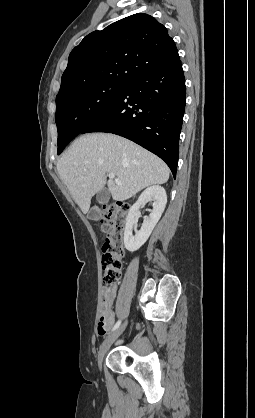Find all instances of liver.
<instances>
[{"label": "liver", "instance_id": "liver-1", "mask_svg": "<svg viewBox=\"0 0 255 418\" xmlns=\"http://www.w3.org/2000/svg\"><path fill=\"white\" fill-rule=\"evenodd\" d=\"M61 180L86 214L91 198L104 188L106 174L122 183L107 182L112 198L124 201L146 187L164 184L170 170L159 157L114 134L91 133L76 139L57 163Z\"/></svg>", "mask_w": 255, "mask_h": 418}]
</instances>
